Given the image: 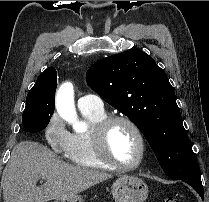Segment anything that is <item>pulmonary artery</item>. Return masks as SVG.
Segmentation results:
<instances>
[{"mask_svg":"<svg viewBox=\"0 0 209 202\" xmlns=\"http://www.w3.org/2000/svg\"><path fill=\"white\" fill-rule=\"evenodd\" d=\"M77 107L81 111L89 110L101 112L104 110L102 99L94 93H88L81 96L77 100Z\"/></svg>","mask_w":209,"mask_h":202,"instance_id":"obj_1","label":"pulmonary artery"}]
</instances>
